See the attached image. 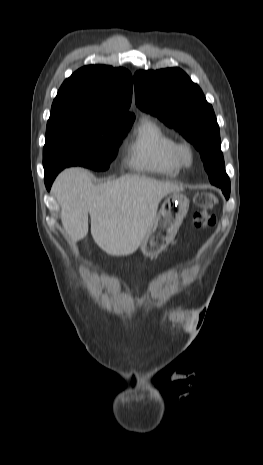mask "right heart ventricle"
Returning a JSON list of instances; mask_svg holds the SVG:
<instances>
[{"label":"right heart ventricle","instance_id":"obj_1","mask_svg":"<svg viewBox=\"0 0 263 465\" xmlns=\"http://www.w3.org/2000/svg\"><path fill=\"white\" fill-rule=\"evenodd\" d=\"M175 140L156 121L144 117L126 148V162L135 171L175 177L181 165L175 157Z\"/></svg>","mask_w":263,"mask_h":465}]
</instances>
